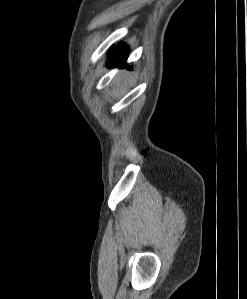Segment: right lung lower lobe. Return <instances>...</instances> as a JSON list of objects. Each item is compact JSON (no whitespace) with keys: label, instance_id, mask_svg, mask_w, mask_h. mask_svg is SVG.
<instances>
[{"label":"right lung lower lobe","instance_id":"98d812e1","mask_svg":"<svg viewBox=\"0 0 247 299\" xmlns=\"http://www.w3.org/2000/svg\"><path fill=\"white\" fill-rule=\"evenodd\" d=\"M125 50H127L126 47H122V44H119L114 50V48L111 49L110 55H109V61H108V66L109 67H115V66H124L127 68H131L128 66L126 63L127 55Z\"/></svg>","mask_w":247,"mask_h":299}]
</instances>
